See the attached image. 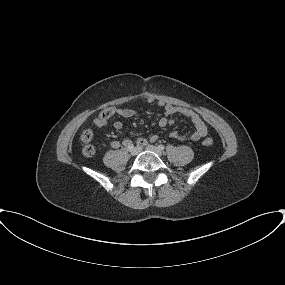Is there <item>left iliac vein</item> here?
Returning a JSON list of instances; mask_svg holds the SVG:
<instances>
[{"label":"left iliac vein","mask_w":285,"mask_h":285,"mask_svg":"<svg viewBox=\"0 0 285 285\" xmlns=\"http://www.w3.org/2000/svg\"><path fill=\"white\" fill-rule=\"evenodd\" d=\"M146 149L149 150V151H152V152L156 153L158 156H161V155H162L161 150H159V148H157V147L154 146V145H147V146H146Z\"/></svg>","instance_id":"4c4485c4"}]
</instances>
